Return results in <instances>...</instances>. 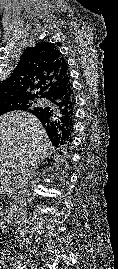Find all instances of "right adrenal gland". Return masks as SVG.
Instances as JSON below:
<instances>
[{"label":"right adrenal gland","mask_w":118,"mask_h":269,"mask_svg":"<svg viewBox=\"0 0 118 269\" xmlns=\"http://www.w3.org/2000/svg\"><path fill=\"white\" fill-rule=\"evenodd\" d=\"M38 169V165L33 166L31 176H35L36 170Z\"/></svg>","instance_id":"2a0ac1e0"}]
</instances>
